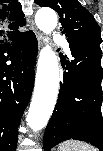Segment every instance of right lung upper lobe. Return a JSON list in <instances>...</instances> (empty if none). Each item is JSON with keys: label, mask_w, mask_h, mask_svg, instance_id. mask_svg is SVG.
<instances>
[{"label": "right lung upper lobe", "mask_w": 103, "mask_h": 151, "mask_svg": "<svg viewBox=\"0 0 103 151\" xmlns=\"http://www.w3.org/2000/svg\"><path fill=\"white\" fill-rule=\"evenodd\" d=\"M24 24L20 3L17 0H0V44L18 39L24 33L17 29Z\"/></svg>", "instance_id": "obj_1"}]
</instances>
